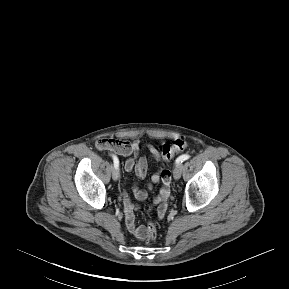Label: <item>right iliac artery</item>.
<instances>
[{
    "label": "right iliac artery",
    "mask_w": 289,
    "mask_h": 289,
    "mask_svg": "<svg viewBox=\"0 0 289 289\" xmlns=\"http://www.w3.org/2000/svg\"><path fill=\"white\" fill-rule=\"evenodd\" d=\"M112 158H113L114 167L118 168L119 167L118 158L115 155H112Z\"/></svg>",
    "instance_id": "1"
}]
</instances>
